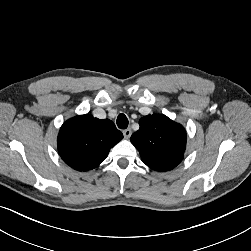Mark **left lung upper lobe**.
I'll list each match as a JSON object with an SVG mask.
<instances>
[{
  "label": "left lung upper lobe",
  "mask_w": 251,
  "mask_h": 251,
  "mask_svg": "<svg viewBox=\"0 0 251 251\" xmlns=\"http://www.w3.org/2000/svg\"><path fill=\"white\" fill-rule=\"evenodd\" d=\"M140 128L131 136L142 161L155 171H168L183 159L186 131L165 115H147L140 119Z\"/></svg>",
  "instance_id": "obj_1"
}]
</instances>
